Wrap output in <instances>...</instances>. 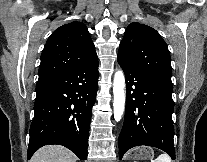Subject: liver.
<instances>
[{
    "instance_id": "6515ba94",
    "label": "liver",
    "mask_w": 207,
    "mask_h": 162,
    "mask_svg": "<svg viewBox=\"0 0 207 162\" xmlns=\"http://www.w3.org/2000/svg\"><path fill=\"white\" fill-rule=\"evenodd\" d=\"M77 157L69 149L60 145H46L32 156L30 162H76Z\"/></svg>"
}]
</instances>
